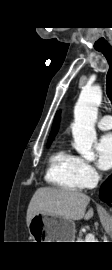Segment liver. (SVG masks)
<instances>
[{
  "label": "liver",
  "mask_w": 112,
  "mask_h": 270,
  "mask_svg": "<svg viewBox=\"0 0 112 270\" xmlns=\"http://www.w3.org/2000/svg\"><path fill=\"white\" fill-rule=\"evenodd\" d=\"M90 197L84 193L65 188L41 187L34 193L27 209V225L36 214L60 216L69 220H89L93 209L87 213L86 207Z\"/></svg>",
  "instance_id": "obj_1"
}]
</instances>
